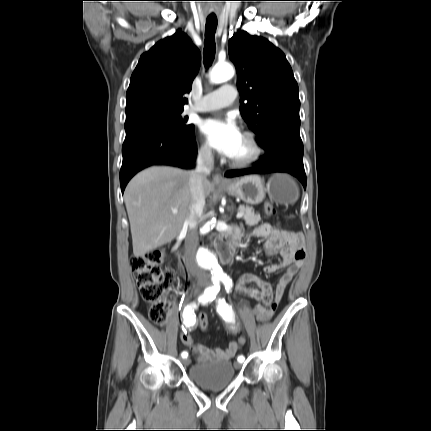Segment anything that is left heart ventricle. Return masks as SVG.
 Wrapping results in <instances>:
<instances>
[{"instance_id": "left-heart-ventricle-1", "label": "left heart ventricle", "mask_w": 431, "mask_h": 431, "mask_svg": "<svg viewBox=\"0 0 431 431\" xmlns=\"http://www.w3.org/2000/svg\"><path fill=\"white\" fill-rule=\"evenodd\" d=\"M251 151L252 150L249 142L245 137L242 136L241 142L231 158L233 159L245 158L248 155H250Z\"/></svg>"}]
</instances>
